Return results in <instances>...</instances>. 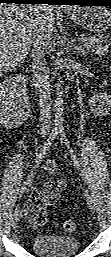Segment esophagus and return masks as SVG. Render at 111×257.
<instances>
[{
	"instance_id": "obj_1",
	"label": "esophagus",
	"mask_w": 111,
	"mask_h": 257,
	"mask_svg": "<svg viewBox=\"0 0 111 257\" xmlns=\"http://www.w3.org/2000/svg\"><path fill=\"white\" fill-rule=\"evenodd\" d=\"M59 9H61V10H68L69 8L65 7V6H62V7H59Z\"/></svg>"
}]
</instances>
